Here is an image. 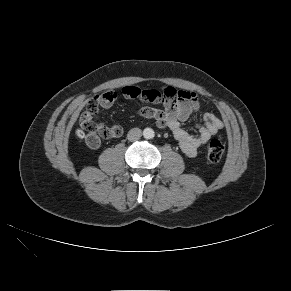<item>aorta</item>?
<instances>
[{"label": "aorta", "instance_id": "obj_1", "mask_svg": "<svg viewBox=\"0 0 291 291\" xmlns=\"http://www.w3.org/2000/svg\"><path fill=\"white\" fill-rule=\"evenodd\" d=\"M143 135L146 139H151L154 137V131L151 128H146L143 131Z\"/></svg>", "mask_w": 291, "mask_h": 291}]
</instances>
